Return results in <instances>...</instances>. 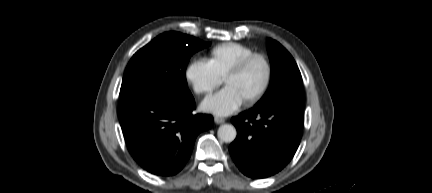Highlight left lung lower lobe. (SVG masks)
Wrapping results in <instances>:
<instances>
[{
  "label": "left lung lower lobe",
  "mask_w": 432,
  "mask_h": 193,
  "mask_svg": "<svg viewBox=\"0 0 432 193\" xmlns=\"http://www.w3.org/2000/svg\"><path fill=\"white\" fill-rule=\"evenodd\" d=\"M303 109L281 104L256 106L232 118L237 137L229 151L239 170L264 178L284 168L301 139Z\"/></svg>",
  "instance_id": "0a47b994"
}]
</instances>
